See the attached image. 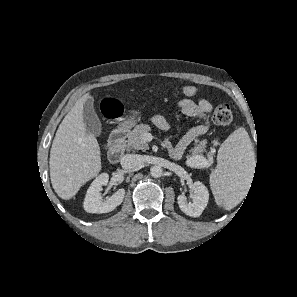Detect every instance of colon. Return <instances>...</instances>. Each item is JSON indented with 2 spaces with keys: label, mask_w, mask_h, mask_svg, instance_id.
I'll return each instance as SVG.
<instances>
[{
  "label": "colon",
  "mask_w": 297,
  "mask_h": 297,
  "mask_svg": "<svg viewBox=\"0 0 297 297\" xmlns=\"http://www.w3.org/2000/svg\"><path fill=\"white\" fill-rule=\"evenodd\" d=\"M198 93L195 86H185L182 88V94L185 97H193ZM100 113L106 120H113L120 117L123 113L121 103L111 97L104 98L100 103ZM232 110L228 104L218 105L213 113V121L218 125H227L232 121Z\"/></svg>",
  "instance_id": "colon-1"
}]
</instances>
